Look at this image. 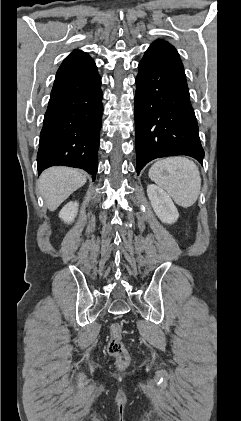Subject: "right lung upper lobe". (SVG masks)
I'll return each instance as SVG.
<instances>
[{
	"mask_svg": "<svg viewBox=\"0 0 241 421\" xmlns=\"http://www.w3.org/2000/svg\"><path fill=\"white\" fill-rule=\"evenodd\" d=\"M82 57H88V54L85 53V52H82L80 50H76V51L72 52L68 57L65 58V60L61 64V66H63L64 64H66V63H68V62H70L72 60H75V59H78V58H82Z\"/></svg>",
	"mask_w": 241,
	"mask_h": 421,
	"instance_id": "1",
	"label": "right lung upper lobe"
}]
</instances>
